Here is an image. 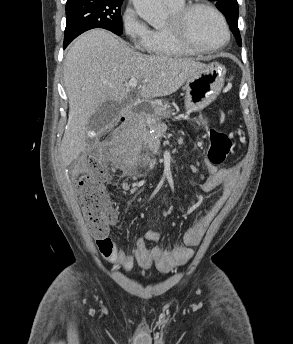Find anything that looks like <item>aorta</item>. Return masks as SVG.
<instances>
[{
    "label": "aorta",
    "instance_id": "1",
    "mask_svg": "<svg viewBox=\"0 0 293 344\" xmlns=\"http://www.w3.org/2000/svg\"><path fill=\"white\" fill-rule=\"evenodd\" d=\"M137 14L157 28L162 26L166 21V13L160 0H132Z\"/></svg>",
    "mask_w": 293,
    "mask_h": 344
}]
</instances>
